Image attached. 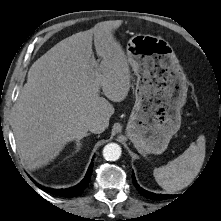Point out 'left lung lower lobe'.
Masks as SVG:
<instances>
[{
  "mask_svg": "<svg viewBox=\"0 0 221 221\" xmlns=\"http://www.w3.org/2000/svg\"><path fill=\"white\" fill-rule=\"evenodd\" d=\"M132 181H133V184L135 185V187L137 188V190L140 192V194L143 195L144 197L149 198V199H152V200H164V199H169V198L175 197V195L154 194V193H151V192H148V191L142 189L137 184L134 175L132 176Z\"/></svg>",
  "mask_w": 221,
  "mask_h": 221,
  "instance_id": "0a47b994",
  "label": "left lung lower lobe"
}]
</instances>
